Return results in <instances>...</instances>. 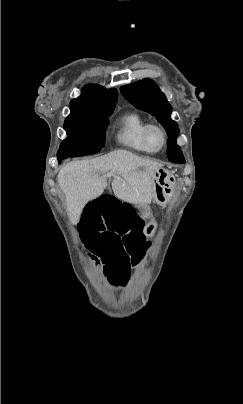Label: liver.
<instances>
[{"mask_svg": "<svg viewBox=\"0 0 243 404\" xmlns=\"http://www.w3.org/2000/svg\"><path fill=\"white\" fill-rule=\"evenodd\" d=\"M162 168L148 158H139L127 150H115L93 160L69 162L61 168L57 178L67 196L70 222L78 224L87 202L103 194L107 172H112V190L119 200L129 204H151L153 200L152 176Z\"/></svg>", "mask_w": 243, "mask_h": 404, "instance_id": "1", "label": "liver"}]
</instances>
